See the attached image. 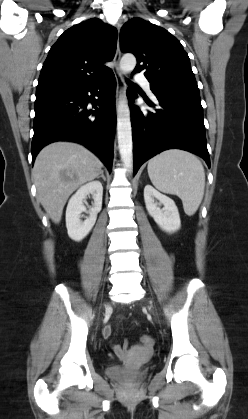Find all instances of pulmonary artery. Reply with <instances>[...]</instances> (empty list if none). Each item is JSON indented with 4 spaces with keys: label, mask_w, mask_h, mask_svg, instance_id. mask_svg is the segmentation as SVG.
Here are the masks:
<instances>
[{
    "label": "pulmonary artery",
    "mask_w": 248,
    "mask_h": 419,
    "mask_svg": "<svg viewBox=\"0 0 248 419\" xmlns=\"http://www.w3.org/2000/svg\"><path fill=\"white\" fill-rule=\"evenodd\" d=\"M135 80L140 83L150 94H152L150 90V82L146 79V77L141 73L135 74Z\"/></svg>",
    "instance_id": "e3ab8cb5"
}]
</instances>
